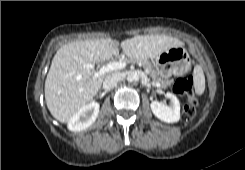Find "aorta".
<instances>
[{
  "label": "aorta",
  "instance_id": "aorta-1",
  "mask_svg": "<svg viewBox=\"0 0 245 170\" xmlns=\"http://www.w3.org/2000/svg\"><path fill=\"white\" fill-rule=\"evenodd\" d=\"M127 81L132 83V82H138L139 81V76L137 73L131 72L127 76Z\"/></svg>",
  "mask_w": 245,
  "mask_h": 170
}]
</instances>
